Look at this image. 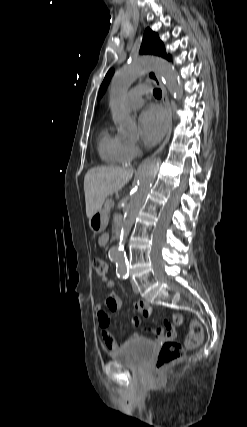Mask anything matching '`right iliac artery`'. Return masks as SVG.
Segmentation results:
<instances>
[{
    "mask_svg": "<svg viewBox=\"0 0 247 427\" xmlns=\"http://www.w3.org/2000/svg\"><path fill=\"white\" fill-rule=\"evenodd\" d=\"M126 277H127V275H123V276H122V278H126Z\"/></svg>",
    "mask_w": 247,
    "mask_h": 427,
    "instance_id": "obj_1",
    "label": "right iliac artery"
}]
</instances>
